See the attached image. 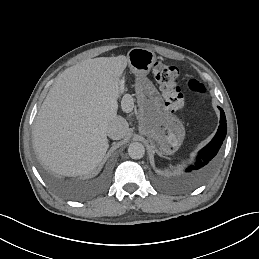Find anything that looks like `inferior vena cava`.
<instances>
[{"label":"inferior vena cava","mask_w":259,"mask_h":259,"mask_svg":"<svg viewBox=\"0 0 259 259\" xmlns=\"http://www.w3.org/2000/svg\"><path fill=\"white\" fill-rule=\"evenodd\" d=\"M128 130V123L122 117H118L107 126L108 137L112 140H119L125 137Z\"/></svg>","instance_id":"inferior-vena-cava-1"}]
</instances>
